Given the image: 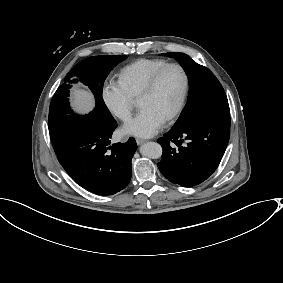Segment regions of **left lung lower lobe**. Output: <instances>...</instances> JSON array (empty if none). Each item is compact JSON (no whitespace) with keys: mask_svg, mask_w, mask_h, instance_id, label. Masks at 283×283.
Segmentation results:
<instances>
[{"mask_svg":"<svg viewBox=\"0 0 283 283\" xmlns=\"http://www.w3.org/2000/svg\"><path fill=\"white\" fill-rule=\"evenodd\" d=\"M230 134V118L201 120L173 127L158 143L163 148L160 172L170 182L190 187L205 181L218 167ZM186 140V141H185Z\"/></svg>","mask_w":283,"mask_h":283,"instance_id":"0a47b994","label":"left lung lower lobe"}]
</instances>
